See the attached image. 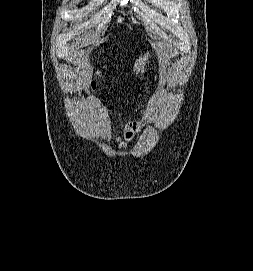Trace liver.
Returning a JSON list of instances; mask_svg holds the SVG:
<instances>
[{"label":"liver","mask_w":253,"mask_h":271,"mask_svg":"<svg viewBox=\"0 0 253 271\" xmlns=\"http://www.w3.org/2000/svg\"><path fill=\"white\" fill-rule=\"evenodd\" d=\"M89 64H85L81 66V68L83 69L82 72H78V74L75 76L76 80H77V87L78 88H84L86 85V79L88 78L89 75ZM97 75H100V72L97 71L96 72ZM79 75V76H78Z\"/></svg>","instance_id":"obj_1"}]
</instances>
